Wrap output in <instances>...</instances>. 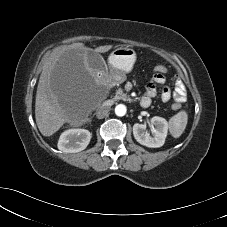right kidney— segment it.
Returning <instances> with one entry per match:
<instances>
[{"mask_svg": "<svg viewBox=\"0 0 227 227\" xmlns=\"http://www.w3.org/2000/svg\"><path fill=\"white\" fill-rule=\"evenodd\" d=\"M91 133L86 129H69L64 131L58 141V149L65 153L84 150L89 144Z\"/></svg>", "mask_w": 227, "mask_h": 227, "instance_id": "ca27d5eb", "label": "right kidney"}]
</instances>
